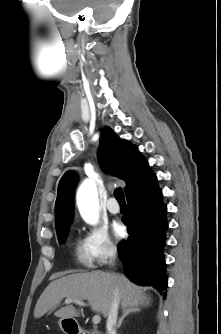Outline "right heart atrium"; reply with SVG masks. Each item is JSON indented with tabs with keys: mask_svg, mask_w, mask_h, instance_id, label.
<instances>
[{
	"mask_svg": "<svg viewBox=\"0 0 221 334\" xmlns=\"http://www.w3.org/2000/svg\"><path fill=\"white\" fill-rule=\"evenodd\" d=\"M83 243L92 262L105 264L117 253V246L103 225H93L86 230Z\"/></svg>",
	"mask_w": 221,
	"mask_h": 334,
	"instance_id": "obj_1",
	"label": "right heart atrium"
}]
</instances>
